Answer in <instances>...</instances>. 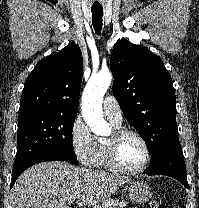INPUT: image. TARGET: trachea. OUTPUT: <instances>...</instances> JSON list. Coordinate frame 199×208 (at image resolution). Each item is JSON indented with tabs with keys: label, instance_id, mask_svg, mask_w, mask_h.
<instances>
[{
	"label": "trachea",
	"instance_id": "1",
	"mask_svg": "<svg viewBox=\"0 0 199 208\" xmlns=\"http://www.w3.org/2000/svg\"><path fill=\"white\" fill-rule=\"evenodd\" d=\"M92 23L97 35H100L102 29L103 9H92Z\"/></svg>",
	"mask_w": 199,
	"mask_h": 208
}]
</instances>
